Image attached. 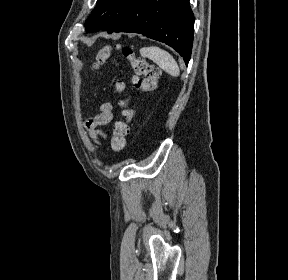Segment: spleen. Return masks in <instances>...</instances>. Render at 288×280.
Listing matches in <instances>:
<instances>
[{
  "label": "spleen",
  "mask_w": 288,
  "mask_h": 280,
  "mask_svg": "<svg viewBox=\"0 0 288 280\" xmlns=\"http://www.w3.org/2000/svg\"><path fill=\"white\" fill-rule=\"evenodd\" d=\"M140 54L142 57H146L155 62L161 69L171 76L177 77L180 75L177 62L167 51L157 46H150L141 48Z\"/></svg>",
  "instance_id": "spleen-1"
}]
</instances>
